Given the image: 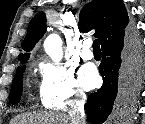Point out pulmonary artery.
I'll return each instance as SVG.
<instances>
[{
	"label": "pulmonary artery",
	"mask_w": 145,
	"mask_h": 124,
	"mask_svg": "<svg viewBox=\"0 0 145 124\" xmlns=\"http://www.w3.org/2000/svg\"><path fill=\"white\" fill-rule=\"evenodd\" d=\"M90 45L91 43L89 41H85L82 45L83 48L80 55L84 60H91L93 58V52L90 49Z\"/></svg>",
	"instance_id": "e3ab8cb5"
}]
</instances>
